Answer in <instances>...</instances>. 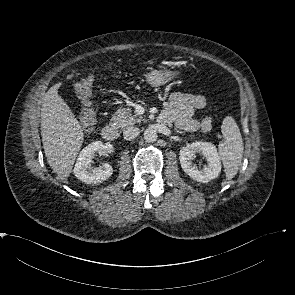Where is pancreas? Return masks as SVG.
<instances>
[{
  "mask_svg": "<svg viewBox=\"0 0 295 295\" xmlns=\"http://www.w3.org/2000/svg\"><path fill=\"white\" fill-rule=\"evenodd\" d=\"M143 120L144 119L140 115L132 113L130 108H119L112 116L111 124L117 128L123 129L136 123H140ZM199 128L203 132L209 131L211 129V118L206 117L202 119Z\"/></svg>",
  "mask_w": 295,
  "mask_h": 295,
  "instance_id": "obj_1",
  "label": "pancreas"
}]
</instances>
